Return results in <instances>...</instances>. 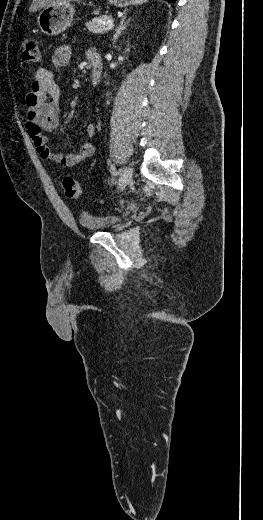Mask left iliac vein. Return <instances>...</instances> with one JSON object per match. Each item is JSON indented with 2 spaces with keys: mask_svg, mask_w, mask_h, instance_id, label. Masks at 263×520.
I'll return each mask as SVG.
<instances>
[{
  "mask_svg": "<svg viewBox=\"0 0 263 520\" xmlns=\"http://www.w3.org/2000/svg\"><path fill=\"white\" fill-rule=\"evenodd\" d=\"M132 169L125 166L122 171L118 182V189H124L132 180Z\"/></svg>",
  "mask_w": 263,
  "mask_h": 520,
  "instance_id": "left-iliac-vein-1",
  "label": "left iliac vein"
}]
</instances>
